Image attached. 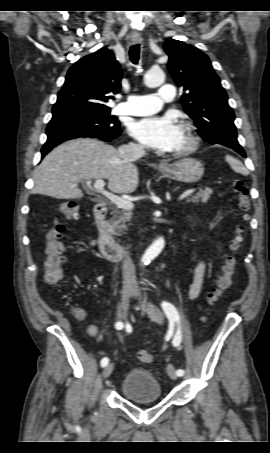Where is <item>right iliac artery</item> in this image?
Returning a JSON list of instances; mask_svg holds the SVG:
<instances>
[{"instance_id": "82829eb1", "label": "right iliac artery", "mask_w": 270, "mask_h": 453, "mask_svg": "<svg viewBox=\"0 0 270 453\" xmlns=\"http://www.w3.org/2000/svg\"><path fill=\"white\" fill-rule=\"evenodd\" d=\"M115 327H116V329L121 330V329L123 328V323H122V322H117V323L115 324ZM108 363H109V359H108L107 357H104V358L101 360V366H102V367L107 366Z\"/></svg>"}]
</instances>
